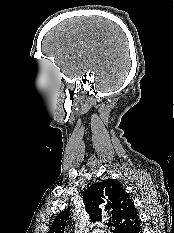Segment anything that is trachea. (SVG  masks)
Here are the masks:
<instances>
[{
	"label": "trachea",
	"instance_id": "trachea-1",
	"mask_svg": "<svg viewBox=\"0 0 174 233\" xmlns=\"http://www.w3.org/2000/svg\"><path fill=\"white\" fill-rule=\"evenodd\" d=\"M107 226H108V227H111V226H112V223H111V222H108V223H107Z\"/></svg>",
	"mask_w": 174,
	"mask_h": 233
}]
</instances>
